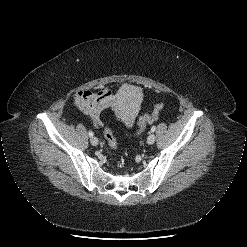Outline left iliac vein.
I'll use <instances>...</instances> for the list:
<instances>
[{
  "instance_id": "left-iliac-vein-1",
  "label": "left iliac vein",
  "mask_w": 247,
  "mask_h": 247,
  "mask_svg": "<svg viewBox=\"0 0 247 247\" xmlns=\"http://www.w3.org/2000/svg\"><path fill=\"white\" fill-rule=\"evenodd\" d=\"M156 140V136L154 133H150V135L147 138V143L148 144H153Z\"/></svg>"
}]
</instances>
